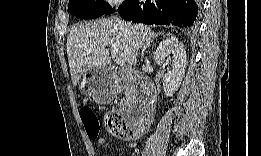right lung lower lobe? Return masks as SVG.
<instances>
[{
	"instance_id": "right-lung-lower-lobe-1",
	"label": "right lung lower lobe",
	"mask_w": 261,
	"mask_h": 156,
	"mask_svg": "<svg viewBox=\"0 0 261 156\" xmlns=\"http://www.w3.org/2000/svg\"><path fill=\"white\" fill-rule=\"evenodd\" d=\"M199 9L197 0H126L118 8L120 15L132 22L190 27L196 22ZM114 12L110 9L105 14Z\"/></svg>"
}]
</instances>
